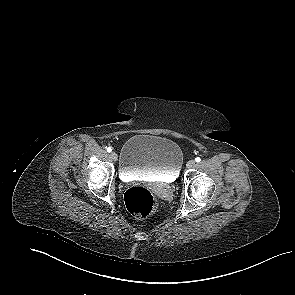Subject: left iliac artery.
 Segmentation results:
<instances>
[{
  "instance_id": "left-iliac-artery-1",
  "label": "left iliac artery",
  "mask_w": 295,
  "mask_h": 295,
  "mask_svg": "<svg viewBox=\"0 0 295 295\" xmlns=\"http://www.w3.org/2000/svg\"><path fill=\"white\" fill-rule=\"evenodd\" d=\"M195 161H196L197 163H199V162L201 161L200 157H196V158H195Z\"/></svg>"
}]
</instances>
